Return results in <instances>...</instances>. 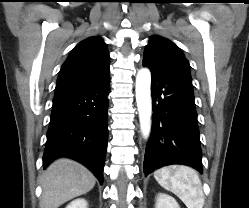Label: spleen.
Returning <instances> with one entry per match:
<instances>
[{
  "instance_id": "spleen-1",
  "label": "spleen",
  "mask_w": 249,
  "mask_h": 208,
  "mask_svg": "<svg viewBox=\"0 0 249 208\" xmlns=\"http://www.w3.org/2000/svg\"><path fill=\"white\" fill-rule=\"evenodd\" d=\"M154 177L163 188L177 195L187 208H203L202 184L194 169L172 165L157 170Z\"/></svg>"
}]
</instances>
